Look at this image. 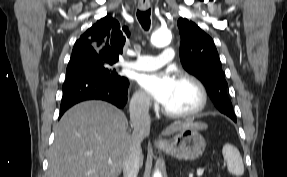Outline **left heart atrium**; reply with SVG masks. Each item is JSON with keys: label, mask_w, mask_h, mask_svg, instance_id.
Returning a JSON list of instances; mask_svg holds the SVG:
<instances>
[{"label": "left heart atrium", "mask_w": 287, "mask_h": 177, "mask_svg": "<svg viewBox=\"0 0 287 177\" xmlns=\"http://www.w3.org/2000/svg\"><path fill=\"white\" fill-rule=\"evenodd\" d=\"M176 81L169 72L147 74L140 78V84L144 91L161 105H164L168 99Z\"/></svg>", "instance_id": "39dd6f15"}]
</instances>
